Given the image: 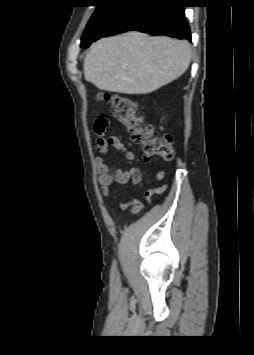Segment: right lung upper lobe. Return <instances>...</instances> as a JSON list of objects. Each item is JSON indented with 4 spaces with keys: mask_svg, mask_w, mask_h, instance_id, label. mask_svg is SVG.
<instances>
[{
    "mask_svg": "<svg viewBox=\"0 0 254 355\" xmlns=\"http://www.w3.org/2000/svg\"><path fill=\"white\" fill-rule=\"evenodd\" d=\"M133 1L136 0H99V2L101 3H117V4L129 3Z\"/></svg>",
    "mask_w": 254,
    "mask_h": 355,
    "instance_id": "obj_1",
    "label": "right lung upper lobe"
}]
</instances>
